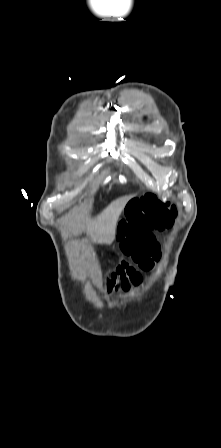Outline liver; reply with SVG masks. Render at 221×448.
Returning a JSON list of instances; mask_svg holds the SVG:
<instances>
[{"label":"liver","instance_id":"obj_1","mask_svg":"<svg viewBox=\"0 0 221 448\" xmlns=\"http://www.w3.org/2000/svg\"><path fill=\"white\" fill-rule=\"evenodd\" d=\"M133 196H125L111 203L94 220L87 221V234L93 242L111 244L116 236L117 221L126 204Z\"/></svg>","mask_w":221,"mask_h":448}]
</instances>
